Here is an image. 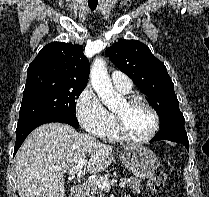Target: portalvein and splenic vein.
<instances>
[{
    "label": "portal vein and splenic vein",
    "instance_id": "portal-vein-and-splenic-vein-1",
    "mask_svg": "<svg viewBox=\"0 0 209 197\" xmlns=\"http://www.w3.org/2000/svg\"><path fill=\"white\" fill-rule=\"evenodd\" d=\"M84 164H85V160H83V159L80 160L77 165H75L71 169H69L68 173L70 175H75L77 172L82 170ZM114 182H116V181L113 180V181L109 182L108 180H105L102 178L93 180L94 184H96L99 188L104 189V190H110L111 185ZM119 185L121 188H124L126 185V182L122 181L119 183Z\"/></svg>",
    "mask_w": 209,
    "mask_h": 197
}]
</instances>
